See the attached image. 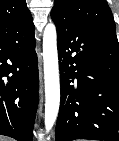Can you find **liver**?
<instances>
[{
    "label": "liver",
    "instance_id": "liver-1",
    "mask_svg": "<svg viewBox=\"0 0 119 141\" xmlns=\"http://www.w3.org/2000/svg\"><path fill=\"white\" fill-rule=\"evenodd\" d=\"M0 141H10L9 138H4L0 136Z\"/></svg>",
    "mask_w": 119,
    "mask_h": 141
}]
</instances>
